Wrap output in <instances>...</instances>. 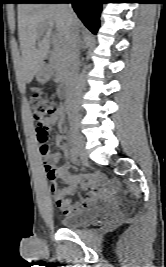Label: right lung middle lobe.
Listing matches in <instances>:
<instances>
[{
	"mask_svg": "<svg viewBox=\"0 0 166 267\" xmlns=\"http://www.w3.org/2000/svg\"><path fill=\"white\" fill-rule=\"evenodd\" d=\"M31 0H17V3H20V2H29Z\"/></svg>",
	"mask_w": 166,
	"mask_h": 267,
	"instance_id": "right-lung-middle-lobe-1",
	"label": "right lung middle lobe"
}]
</instances>
